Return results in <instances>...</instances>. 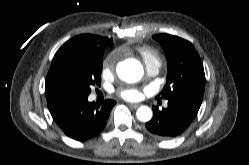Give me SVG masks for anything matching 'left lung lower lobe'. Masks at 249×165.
Returning <instances> with one entry per match:
<instances>
[{
    "mask_svg": "<svg viewBox=\"0 0 249 165\" xmlns=\"http://www.w3.org/2000/svg\"><path fill=\"white\" fill-rule=\"evenodd\" d=\"M200 103L175 98L168 100V107L162 110L153 107V118L146 123L149 133L160 139H171L181 135L192 123L200 108Z\"/></svg>",
    "mask_w": 249,
    "mask_h": 165,
    "instance_id": "1",
    "label": "left lung lower lobe"
}]
</instances>
